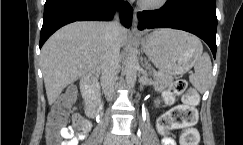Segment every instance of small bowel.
<instances>
[{
  "instance_id": "c3829d8e",
  "label": "small bowel",
  "mask_w": 243,
  "mask_h": 145,
  "mask_svg": "<svg viewBox=\"0 0 243 145\" xmlns=\"http://www.w3.org/2000/svg\"><path fill=\"white\" fill-rule=\"evenodd\" d=\"M77 118L82 117L78 114L73 115V122H75ZM88 131L75 133L72 130V127L63 128L61 131V137L63 138L61 145H78L79 141L83 140L86 137ZM161 142L162 145H176L174 139L170 136H164Z\"/></svg>"
}]
</instances>
